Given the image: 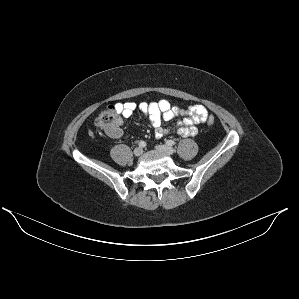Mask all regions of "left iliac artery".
<instances>
[{"label":"left iliac artery","instance_id":"obj_1","mask_svg":"<svg viewBox=\"0 0 299 299\" xmlns=\"http://www.w3.org/2000/svg\"><path fill=\"white\" fill-rule=\"evenodd\" d=\"M166 144L169 145V146H173V145H175L176 143H175L173 140H167V141H166Z\"/></svg>","mask_w":299,"mask_h":299}]
</instances>
